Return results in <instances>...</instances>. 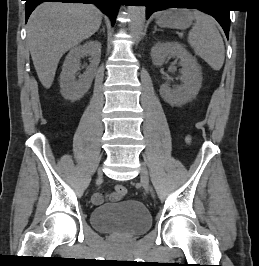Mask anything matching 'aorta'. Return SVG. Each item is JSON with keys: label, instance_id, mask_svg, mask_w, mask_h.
<instances>
[{"label": "aorta", "instance_id": "762f6f07", "mask_svg": "<svg viewBox=\"0 0 259 266\" xmlns=\"http://www.w3.org/2000/svg\"><path fill=\"white\" fill-rule=\"evenodd\" d=\"M145 6H129L128 13L130 17L129 30L131 34L138 39L142 34L145 23Z\"/></svg>", "mask_w": 259, "mask_h": 266}]
</instances>
